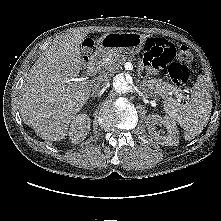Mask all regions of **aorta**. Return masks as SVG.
Returning <instances> with one entry per match:
<instances>
[{"label": "aorta", "instance_id": "762f6f07", "mask_svg": "<svg viewBox=\"0 0 221 221\" xmlns=\"http://www.w3.org/2000/svg\"><path fill=\"white\" fill-rule=\"evenodd\" d=\"M113 88L117 93H127L131 89V81L124 74H117L113 79Z\"/></svg>", "mask_w": 221, "mask_h": 221}]
</instances>
